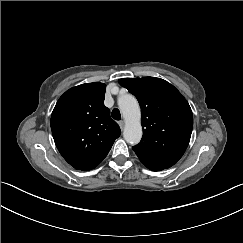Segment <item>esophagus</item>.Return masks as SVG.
<instances>
[{
  "label": "esophagus",
  "mask_w": 243,
  "mask_h": 243,
  "mask_svg": "<svg viewBox=\"0 0 243 243\" xmlns=\"http://www.w3.org/2000/svg\"><path fill=\"white\" fill-rule=\"evenodd\" d=\"M118 123H119V126H120L121 130H122L123 127H124V122L121 120V121H119Z\"/></svg>",
  "instance_id": "esophagus-1"
}]
</instances>
